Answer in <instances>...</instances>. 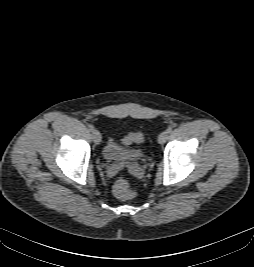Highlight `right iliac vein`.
Instances as JSON below:
<instances>
[{"instance_id": "right-iliac-vein-1", "label": "right iliac vein", "mask_w": 254, "mask_h": 267, "mask_svg": "<svg viewBox=\"0 0 254 267\" xmlns=\"http://www.w3.org/2000/svg\"><path fill=\"white\" fill-rule=\"evenodd\" d=\"M93 141L95 144H99L101 142V134L98 130L94 129L92 131Z\"/></svg>"}]
</instances>
